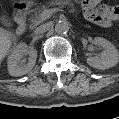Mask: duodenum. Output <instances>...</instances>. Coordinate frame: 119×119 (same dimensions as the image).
<instances>
[{"label": "duodenum", "mask_w": 119, "mask_h": 119, "mask_svg": "<svg viewBox=\"0 0 119 119\" xmlns=\"http://www.w3.org/2000/svg\"><path fill=\"white\" fill-rule=\"evenodd\" d=\"M26 15H27V8L23 4L18 5L15 10V21L17 23L18 35H22L26 31L27 28Z\"/></svg>", "instance_id": "duodenum-1"}]
</instances>
